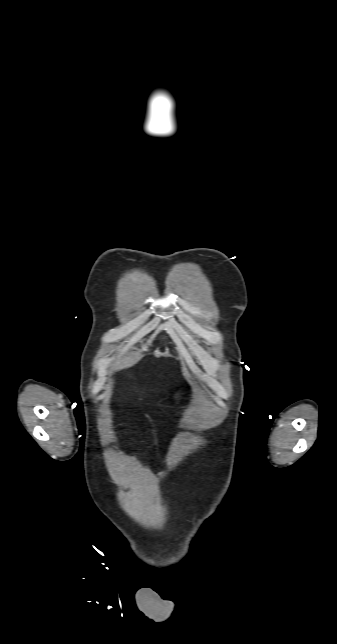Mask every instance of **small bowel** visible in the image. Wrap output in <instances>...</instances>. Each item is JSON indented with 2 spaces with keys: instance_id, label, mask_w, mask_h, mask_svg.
<instances>
[{
  "instance_id": "c3829d8e",
  "label": "small bowel",
  "mask_w": 337,
  "mask_h": 644,
  "mask_svg": "<svg viewBox=\"0 0 337 644\" xmlns=\"http://www.w3.org/2000/svg\"><path fill=\"white\" fill-rule=\"evenodd\" d=\"M135 457H136V455H135L134 453L129 454V455L127 456V458H128V459H131V460H132V459H135Z\"/></svg>"
}]
</instances>
